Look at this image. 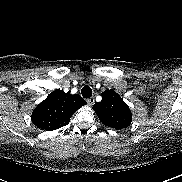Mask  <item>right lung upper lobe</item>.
I'll return each mask as SVG.
<instances>
[{
    "label": "right lung upper lobe",
    "mask_w": 182,
    "mask_h": 182,
    "mask_svg": "<svg viewBox=\"0 0 182 182\" xmlns=\"http://www.w3.org/2000/svg\"><path fill=\"white\" fill-rule=\"evenodd\" d=\"M85 104L87 102L80 95L57 89L37 105L31 119L42 130H55L67 125L71 116Z\"/></svg>",
    "instance_id": "obj_1"
}]
</instances>
